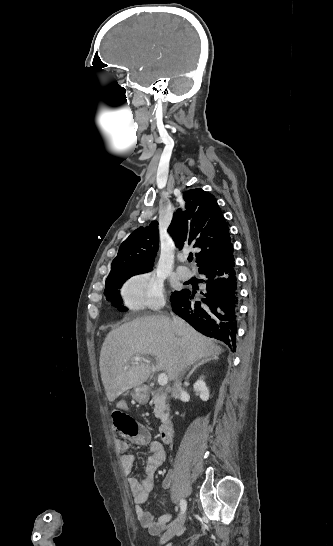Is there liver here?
I'll return each mask as SVG.
<instances>
[{"mask_svg":"<svg viewBox=\"0 0 333 546\" xmlns=\"http://www.w3.org/2000/svg\"><path fill=\"white\" fill-rule=\"evenodd\" d=\"M222 348L188 324L175 330L169 317L143 316L113 329L101 348V379L110 402L127 390L143 384L152 372L147 361L135 356H154L155 370H164L175 380L187 367L202 358H216Z\"/></svg>","mask_w":333,"mask_h":546,"instance_id":"obj_1","label":"liver"}]
</instances>
